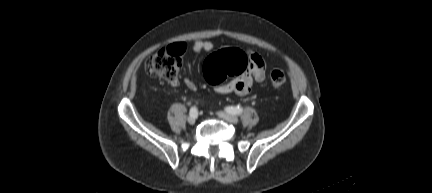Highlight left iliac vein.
Returning <instances> with one entry per match:
<instances>
[{
	"mask_svg": "<svg viewBox=\"0 0 432 193\" xmlns=\"http://www.w3.org/2000/svg\"><path fill=\"white\" fill-rule=\"evenodd\" d=\"M218 116L231 123H237L239 120L237 116L226 112H218Z\"/></svg>",
	"mask_w": 432,
	"mask_h": 193,
	"instance_id": "1",
	"label": "left iliac vein"
}]
</instances>
